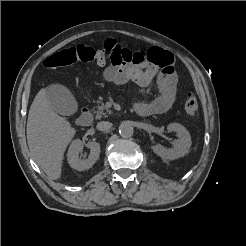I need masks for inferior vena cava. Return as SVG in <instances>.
I'll list each match as a JSON object with an SVG mask.
<instances>
[{
  "instance_id": "602c4592",
  "label": "inferior vena cava",
  "mask_w": 246,
  "mask_h": 246,
  "mask_svg": "<svg viewBox=\"0 0 246 246\" xmlns=\"http://www.w3.org/2000/svg\"><path fill=\"white\" fill-rule=\"evenodd\" d=\"M112 127V123L108 121H102L97 124V129L100 131H108Z\"/></svg>"
}]
</instances>
